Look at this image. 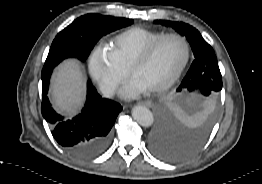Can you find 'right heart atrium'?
<instances>
[{
    "mask_svg": "<svg viewBox=\"0 0 262 184\" xmlns=\"http://www.w3.org/2000/svg\"><path fill=\"white\" fill-rule=\"evenodd\" d=\"M88 68L92 79L107 96L114 95L127 78V71L117 63L110 51L102 47L92 52Z\"/></svg>",
    "mask_w": 262,
    "mask_h": 184,
    "instance_id": "1",
    "label": "right heart atrium"
}]
</instances>
